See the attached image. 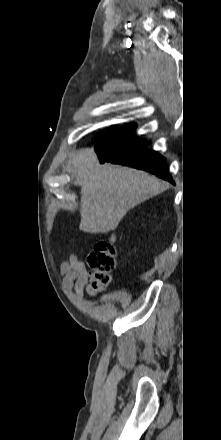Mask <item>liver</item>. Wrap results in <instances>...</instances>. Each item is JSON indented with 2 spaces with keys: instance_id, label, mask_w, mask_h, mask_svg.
Returning <instances> with one entry per match:
<instances>
[{
  "instance_id": "1",
  "label": "liver",
  "mask_w": 221,
  "mask_h": 440,
  "mask_svg": "<svg viewBox=\"0 0 221 440\" xmlns=\"http://www.w3.org/2000/svg\"><path fill=\"white\" fill-rule=\"evenodd\" d=\"M81 187V222L86 233L115 230L126 213L168 185L147 173L119 165L99 163L93 149L79 151L69 162Z\"/></svg>"
}]
</instances>
